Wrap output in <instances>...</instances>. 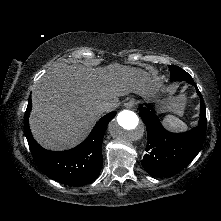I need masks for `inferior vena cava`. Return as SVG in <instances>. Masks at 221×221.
Returning <instances> with one entry per match:
<instances>
[{"label": "inferior vena cava", "instance_id": "602c4592", "mask_svg": "<svg viewBox=\"0 0 221 221\" xmlns=\"http://www.w3.org/2000/svg\"><path fill=\"white\" fill-rule=\"evenodd\" d=\"M110 110H111V106L108 103L100 105V107L98 109L99 113H101V114L104 112H108Z\"/></svg>", "mask_w": 221, "mask_h": 221}]
</instances>
